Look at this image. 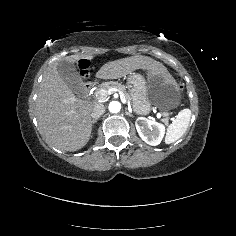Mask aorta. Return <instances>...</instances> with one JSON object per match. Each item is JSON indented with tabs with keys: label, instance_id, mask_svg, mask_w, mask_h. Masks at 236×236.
I'll use <instances>...</instances> for the list:
<instances>
[{
	"label": "aorta",
	"instance_id": "aorta-1",
	"mask_svg": "<svg viewBox=\"0 0 236 236\" xmlns=\"http://www.w3.org/2000/svg\"><path fill=\"white\" fill-rule=\"evenodd\" d=\"M121 109V104L118 101H111L108 105V110L111 113H118Z\"/></svg>",
	"mask_w": 236,
	"mask_h": 236
}]
</instances>
